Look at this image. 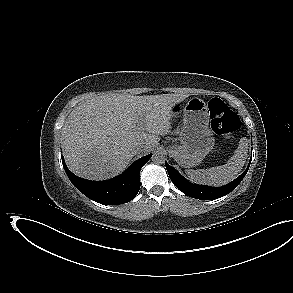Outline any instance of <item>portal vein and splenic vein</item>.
I'll use <instances>...</instances> for the list:
<instances>
[{"mask_svg": "<svg viewBox=\"0 0 293 293\" xmlns=\"http://www.w3.org/2000/svg\"><path fill=\"white\" fill-rule=\"evenodd\" d=\"M137 129L139 131H144V126H143V123L142 122H140V124L137 126Z\"/></svg>", "mask_w": 293, "mask_h": 293, "instance_id": "1", "label": "portal vein and splenic vein"}]
</instances>
